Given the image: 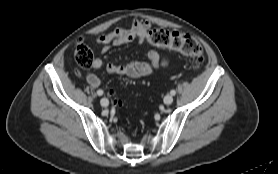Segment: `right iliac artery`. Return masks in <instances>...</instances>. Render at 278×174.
Here are the masks:
<instances>
[{
    "mask_svg": "<svg viewBox=\"0 0 278 174\" xmlns=\"http://www.w3.org/2000/svg\"><path fill=\"white\" fill-rule=\"evenodd\" d=\"M97 94H98L99 96H102V95H103V90L99 89V90L97 91Z\"/></svg>",
    "mask_w": 278,
    "mask_h": 174,
    "instance_id": "right-iliac-artery-1",
    "label": "right iliac artery"
}]
</instances>
